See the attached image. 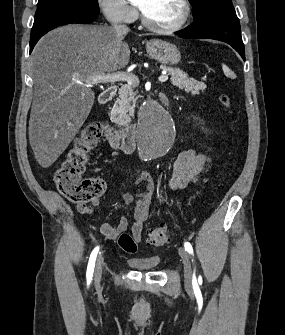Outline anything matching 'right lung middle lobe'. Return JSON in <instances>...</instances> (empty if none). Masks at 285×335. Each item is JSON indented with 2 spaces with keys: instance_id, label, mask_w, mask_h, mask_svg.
Segmentation results:
<instances>
[{
  "instance_id": "1",
  "label": "right lung middle lobe",
  "mask_w": 285,
  "mask_h": 335,
  "mask_svg": "<svg viewBox=\"0 0 285 335\" xmlns=\"http://www.w3.org/2000/svg\"><path fill=\"white\" fill-rule=\"evenodd\" d=\"M61 10H77L99 14L96 0H38L35 19Z\"/></svg>"
}]
</instances>
